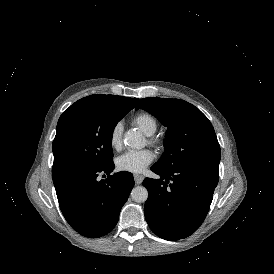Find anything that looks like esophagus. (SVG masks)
<instances>
[{
	"label": "esophagus",
	"mask_w": 274,
	"mask_h": 274,
	"mask_svg": "<svg viewBox=\"0 0 274 274\" xmlns=\"http://www.w3.org/2000/svg\"><path fill=\"white\" fill-rule=\"evenodd\" d=\"M134 180L136 184H141L142 181L144 180V176L143 175H134Z\"/></svg>",
	"instance_id": "34e87169"
}]
</instances>
